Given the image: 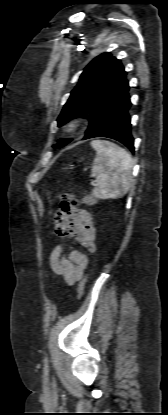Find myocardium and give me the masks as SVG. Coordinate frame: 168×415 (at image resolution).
<instances>
[{"label": "myocardium", "mask_w": 168, "mask_h": 415, "mask_svg": "<svg viewBox=\"0 0 168 415\" xmlns=\"http://www.w3.org/2000/svg\"><path fill=\"white\" fill-rule=\"evenodd\" d=\"M82 125H83L82 119L79 118V117H74V118H71L70 120H68L64 124L63 130L67 134H73V133L79 131L81 129Z\"/></svg>", "instance_id": "obj_1"}]
</instances>
